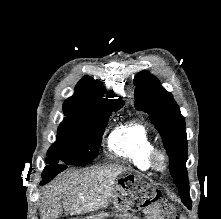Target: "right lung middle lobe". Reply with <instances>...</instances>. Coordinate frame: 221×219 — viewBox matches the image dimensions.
Segmentation results:
<instances>
[{"mask_svg": "<svg viewBox=\"0 0 221 219\" xmlns=\"http://www.w3.org/2000/svg\"><path fill=\"white\" fill-rule=\"evenodd\" d=\"M109 116L97 120L66 117L58 127L57 140L48 150L46 163L83 165L91 162L99 152Z\"/></svg>", "mask_w": 221, "mask_h": 219, "instance_id": "right-lung-middle-lobe-1", "label": "right lung middle lobe"}]
</instances>
